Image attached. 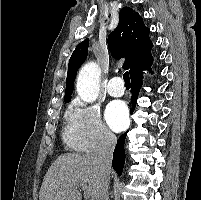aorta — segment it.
I'll return each instance as SVG.
<instances>
[{"instance_id":"1","label":"aorta","mask_w":201,"mask_h":200,"mask_svg":"<svg viewBox=\"0 0 201 200\" xmlns=\"http://www.w3.org/2000/svg\"><path fill=\"white\" fill-rule=\"evenodd\" d=\"M100 74V68L95 62L87 63L81 68L76 88L83 101L91 103L98 97Z\"/></svg>"}]
</instances>
